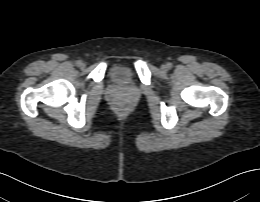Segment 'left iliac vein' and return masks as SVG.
<instances>
[{"instance_id": "4c4485c4", "label": "left iliac vein", "mask_w": 260, "mask_h": 202, "mask_svg": "<svg viewBox=\"0 0 260 202\" xmlns=\"http://www.w3.org/2000/svg\"><path fill=\"white\" fill-rule=\"evenodd\" d=\"M167 69V66L166 65H162L161 66V70L165 71Z\"/></svg>"}]
</instances>
